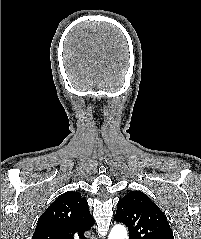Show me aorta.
<instances>
[{
  "mask_svg": "<svg viewBox=\"0 0 201 239\" xmlns=\"http://www.w3.org/2000/svg\"><path fill=\"white\" fill-rule=\"evenodd\" d=\"M109 239H128V233L123 225H115L109 234Z\"/></svg>",
  "mask_w": 201,
  "mask_h": 239,
  "instance_id": "obj_1",
  "label": "aorta"
}]
</instances>
